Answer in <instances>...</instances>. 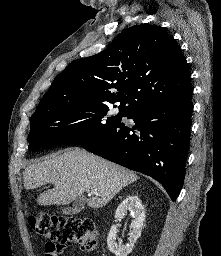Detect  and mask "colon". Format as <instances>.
<instances>
[{"label": "colon", "mask_w": 221, "mask_h": 256, "mask_svg": "<svg viewBox=\"0 0 221 256\" xmlns=\"http://www.w3.org/2000/svg\"><path fill=\"white\" fill-rule=\"evenodd\" d=\"M31 229L48 240L46 251L58 254L70 243L76 242L85 251L98 246V235L94 222L87 218L56 217L40 212L28 218Z\"/></svg>", "instance_id": "colon-1"}]
</instances>
